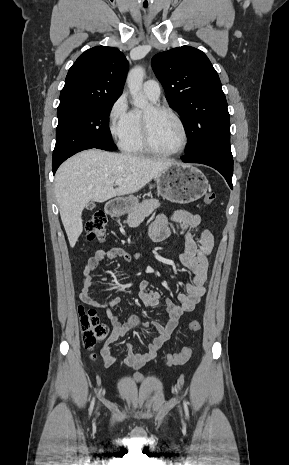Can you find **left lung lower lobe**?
I'll return each instance as SVG.
<instances>
[{"label":"left lung lower lobe","mask_w":289,"mask_h":465,"mask_svg":"<svg viewBox=\"0 0 289 465\" xmlns=\"http://www.w3.org/2000/svg\"><path fill=\"white\" fill-rule=\"evenodd\" d=\"M183 162L201 163L213 167L218 170L226 179L231 189L233 175V157L219 153H195L181 157Z\"/></svg>","instance_id":"obj_1"}]
</instances>
